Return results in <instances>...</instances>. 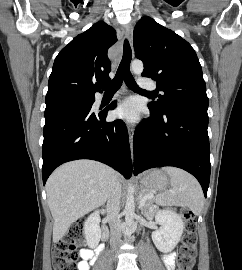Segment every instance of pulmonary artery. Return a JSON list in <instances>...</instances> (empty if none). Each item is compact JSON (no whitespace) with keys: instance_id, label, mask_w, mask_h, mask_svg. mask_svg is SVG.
Instances as JSON below:
<instances>
[{"instance_id":"pulmonary-artery-1","label":"pulmonary artery","mask_w":242,"mask_h":270,"mask_svg":"<svg viewBox=\"0 0 242 270\" xmlns=\"http://www.w3.org/2000/svg\"><path fill=\"white\" fill-rule=\"evenodd\" d=\"M139 87L142 89H149V90H153L155 89V85L154 83L144 79V78H140L139 79Z\"/></svg>"}]
</instances>
